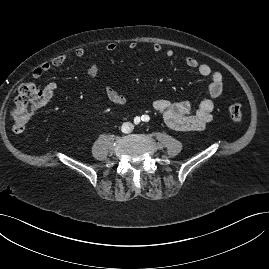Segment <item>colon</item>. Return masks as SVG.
I'll return each instance as SVG.
<instances>
[{
    "label": "colon",
    "instance_id": "5ec220e1",
    "mask_svg": "<svg viewBox=\"0 0 269 269\" xmlns=\"http://www.w3.org/2000/svg\"><path fill=\"white\" fill-rule=\"evenodd\" d=\"M41 105H43V93L40 88L30 82L20 85L11 111L14 132H22L28 125L34 112ZM229 115L235 123L242 121V107L238 102H232L230 104Z\"/></svg>",
    "mask_w": 269,
    "mask_h": 269
}]
</instances>
